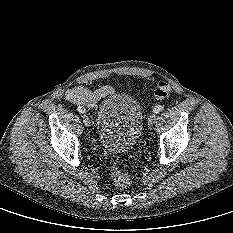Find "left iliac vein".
I'll return each mask as SVG.
<instances>
[{
	"label": "left iliac vein",
	"mask_w": 233,
	"mask_h": 233,
	"mask_svg": "<svg viewBox=\"0 0 233 233\" xmlns=\"http://www.w3.org/2000/svg\"><path fill=\"white\" fill-rule=\"evenodd\" d=\"M155 120H156V114L153 113V114L150 115V117L148 119V124L153 125L155 123Z\"/></svg>",
	"instance_id": "obj_1"
}]
</instances>
